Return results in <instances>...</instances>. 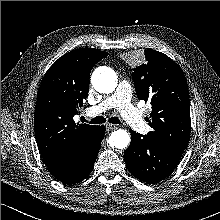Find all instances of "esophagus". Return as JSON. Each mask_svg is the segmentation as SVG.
I'll use <instances>...</instances> for the list:
<instances>
[{"instance_id": "1", "label": "esophagus", "mask_w": 220, "mask_h": 220, "mask_svg": "<svg viewBox=\"0 0 220 220\" xmlns=\"http://www.w3.org/2000/svg\"><path fill=\"white\" fill-rule=\"evenodd\" d=\"M117 128H118L117 125L110 124V123L106 124V129H107L108 131H111V130H114V129H117Z\"/></svg>"}]
</instances>
